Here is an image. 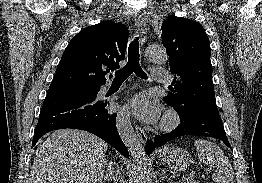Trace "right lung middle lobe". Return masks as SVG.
I'll use <instances>...</instances> for the list:
<instances>
[{"label": "right lung middle lobe", "instance_id": "right-lung-middle-lobe-1", "mask_svg": "<svg viewBox=\"0 0 262 183\" xmlns=\"http://www.w3.org/2000/svg\"><path fill=\"white\" fill-rule=\"evenodd\" d=\"M79 90H84V89H79ZM70 91H75V90H70ZM57 92H67V91H57Z\"/></svg>", "mask_w": 262, "mask_h": 183}]
</instances>
